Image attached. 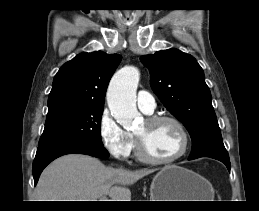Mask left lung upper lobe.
I'll return each instance as SVG.
<instances>
[{
	"mask_svg": "<svg viewBox=\"0 0 259 211\" xmlns=\"http://www.w3.org/2000/svg\"><path fill=\"white\" fill-rule=\"evenodd\" d=\"M154 93L187 128L192 139L189 159L203 156L229 157L211 103L205 75L196 59L178 49L144 55Z\"/></svg>",
	"mask_w": 259,
	"mask_h": 211,
	"instance_id": "5c2ea615",
	"label": "left lung upper lobe"
}]
</instances>
